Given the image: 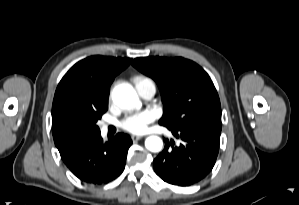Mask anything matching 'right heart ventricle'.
Masks as SVG:
<instances>
[{"instance_id": "obj_1", "label": "right heart ventricle", "mask_w": 299, "mask_h": 205, "mask_svg": "<svg viewBox=\"0 0 299 205\" xmlns=\"http://www.w3.org/2000/svg\"><path fill=\"white\" fill-rule=\"evenodd\" d=\"M144 79H147V78L142 77V76H138V77H135L134 82L137 85L139 82H141Z\"/></svg>"}]
</instances>
